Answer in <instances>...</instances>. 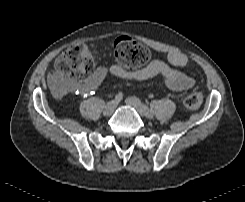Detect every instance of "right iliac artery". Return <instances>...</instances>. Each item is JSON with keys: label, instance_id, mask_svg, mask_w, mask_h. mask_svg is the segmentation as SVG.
I'll return each mask as SVG.
<instances>
[{"label": "right iliac artery", "instance_id": "right-iliac-artery-1", "mask_svg": "<svg viewBox=\"0 0 245 202\" xmlns=\"http://www.w3.org/2000/svg\"><path fill=\"white\" fill-rule=\"evenodd\" d=\"M123 99V93L122 92H118L115 96V101L116 102H120Z\"/></svg>", "mask_w": 245, "mask_h": 202}]
</instances>
